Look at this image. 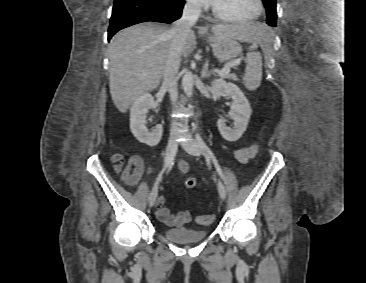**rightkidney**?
<instances>
[{
  "instance_id": "obj_1",
  "label": "right kidney",
  "mask_w": 366,
  "mask_h": 283,
  "mask_svg": "<svg viewBox=\"0 0 366 283\" xmlns=\"http://www.w3.org/2000/svg\"><path fill=\"white\" fill-rule=\"evenodd\" d=\"M148 109L156 110L157 104L150 94L144 93L137 97L131 106L130 130L139 142L153 147L156 146L162 138L163 126L160 124L157 125L152 132L148 131L146 127Z\"/></svg>"
}]
</instances>
